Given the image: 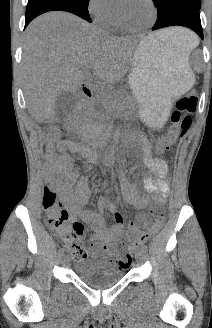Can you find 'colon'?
Here are the masks:
<instances>
[{
  "label": "colon",
  "instance_id": "1",
  "mask_svg": "<svg viewBox=\"0 0 212 328\" xmlns=\"http://www.w3.org/2000/svg\"><path fill=\"white\" fill-rule=\"evenodd\" d=\"M197 103L198 92L195 89L190 90L178 100L176 110L172 116V125L168 132L157 142L158 152L163 153L167 151L187 133L192 125ZM60 138V131L53 129L48 132L46 142L48 145H57ZM43 206L48 223L57 231L59 240L67 247L75 259L83 257L86 253L82 239L84 226L80 223L68 224L69 214L66 209L62 208L61 200L55 190L49 187L44 189ZM160 206L161 204L157 203L149 209V213L155 218L153 225L147 231L140 234L128 250L117 254L115 263L119 269L124 270L129 268L131 264L130 250L134 249L140 243L145 242L163 226L165 215Z\"/></svg>",
  "mask_w": 212,
  "mask_h": 328
}]
</instances>
